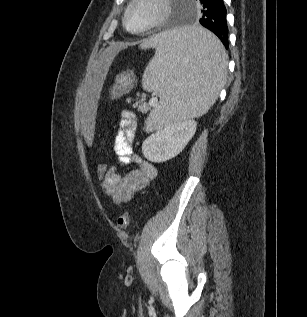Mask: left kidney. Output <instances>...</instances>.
<instances>
[{
    "label": "left kidney",
    "instance_id": "5707ae66",
    "mask_svg": "<svg viewBox=\"0 0 307 317\" xmlns=\"http://www.w3.org/2000/svg\"><path fill=\"white\" fill-rule=\"evenodd\" d=\"M195 120L171 123L152 134L142 144L144 157L155 163L165 162L177 156L196 132Z\"/></svg>",
    "mask_w": 307,
    "mask_h": 317
}]
</instances>
